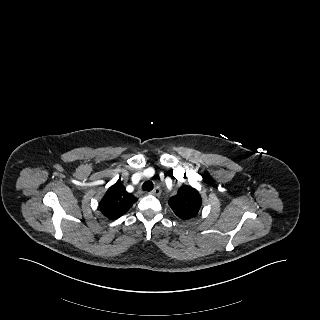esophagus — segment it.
Masks as SVG:
<instances>
[{
  "label": "esophagus",
  "mask_w": 320,
  "mask_h": 320,
  "mask_svg": "<svg viewBox=\"0 0 320 320\" xmlns=\"http://www.w3.org/2000/svg\"><path fill=\"white\" fill-rule=\"evenodd\" d=\"M151 195H154V196H159L161 194V189L160 187L156 186L151 192H150Z\"/></svg>",
  "instance_id": "esophagus-1"
}]
</instances>
